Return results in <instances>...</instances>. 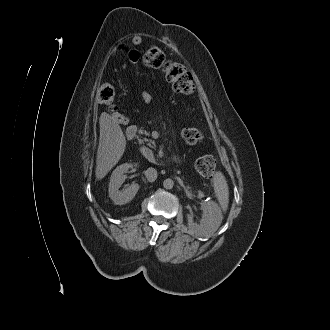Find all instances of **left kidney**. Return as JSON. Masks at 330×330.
<instances>
[{
  "instance_id": "5707ae66",
  "label": "left kidney",
  "mask_w": 330,
  "mask_h": 330,
  "mask_svg": "<svg viewBox=\"0 0 330 330\" xmlns=\"http://www.w3.org/2000/svg\"><path fill=\"white\" fill-rule=\"evenodd\" d=\"M201 208L203 210V216L200 224L194 222L192 214H188V227L193 234L208 237L219 228L223 215L221 208L213 201L202 202Z\"/></svg>"
}]
</instances>
